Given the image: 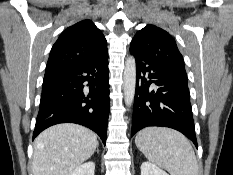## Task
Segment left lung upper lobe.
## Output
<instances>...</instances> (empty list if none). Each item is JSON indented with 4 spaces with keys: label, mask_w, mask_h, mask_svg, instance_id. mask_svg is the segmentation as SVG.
<instances>
[{
    "label": "left lung upper lobe",
    "mask_w": 233,
    "mask_h": 175,
    "mask_svg": "<svg viewBox=\"0 0 233 175\" xmlns=\"http://www.w3.org/2000/svg\"><path fill=\"white\" fill-rule=\"evenodd\" d=\"M131 45L152 62L186 74L184 60L176 42L165 30L154 25H147L134 36Z\"/></svg>",
    "instance_id": "obj_1"
}]
</instances>
